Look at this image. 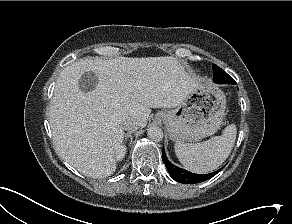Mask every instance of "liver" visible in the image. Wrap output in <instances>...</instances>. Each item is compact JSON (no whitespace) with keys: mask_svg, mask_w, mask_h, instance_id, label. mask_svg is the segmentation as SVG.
I'll return each instance as SVG.
<instances>
[{"mask_svg":"<svg viewBox=\"0 0 292 224\" xmlns=\"http://www.w3.org/2000/svg\"><path fill=\"white\" fill-rule=\"evenodd\" d=\"M87 72L97 82L84 93L79 83ZM199 81L171 56L76 61L61 71L49 107L56 149L85 176H110L123 146L121 121L130 117L144 128L150 108L178 107Z\"/></svg>","mask_w":292,"mask_h":224,"instance_id":"liver-1","label":"liver"}]
</instances>
